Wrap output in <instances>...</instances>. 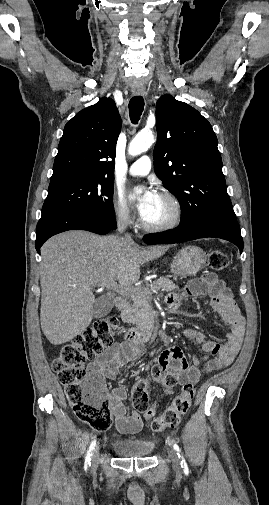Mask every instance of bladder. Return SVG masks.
Segmentation results:
<instances>
[{"mask_svg":"<svg viewBox=\"0 0 269 505\" xmlns=\"http://www.w3.org/2000/svg\"><path fill=\"white\" fill-rule=\"evenodd\" d=\"M112 448L122 457H148L154 451L155 445L151 441H114Z\"/></svg>","mask_w":269,"mask_h":505,"instance_id":"bladder-1","label":"bladder"}]
</instances>
